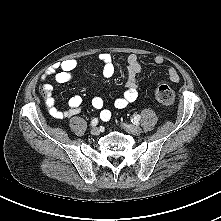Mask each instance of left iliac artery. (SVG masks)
Instances as JSON below:
<instances>
[{
  "label": "left iliac artery",
  "instance_id": "1",
  "mask_svg": "<svg viewBox=\"0 0 221 221\" xmlns=\"http://www.w3.org/2000/svg\"><path fill=\"white\" fill-rule=\"evenodd\" d=\"M141 119V116L140 115H136L132 120L131 122L134 123V124H138L139 120Z\"/></svg>",
  "mask_w": 221,
  "mask_h": 221
}]
</instances>
